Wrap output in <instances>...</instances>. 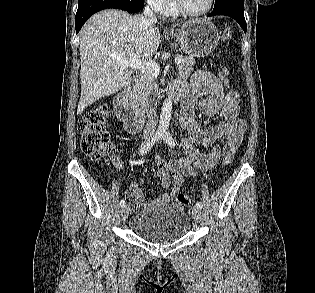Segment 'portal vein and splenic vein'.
<instances>
[{"label":"portal vein and splenic vein","mask_w":315,"mask_h":293,"mask_svg":"<svg viewBox=\"0 0 315 293\" xmlns=\"http://www.w3.org/2000/svg\"><path fill=\"white\" fill-rule=\"evenodd\" d=\"M116 60L120 63L123 67H131L133 69H137L144 73L150 72L154 77H157L160 72V67L157 63L150 61V62H142L141 60L137 59L136 57L130 59H123L117 57ZM182 62L181 57L175 58V63L180 64Z\"/></svg>","instance_id":"18ae733b"}]
</instances>
